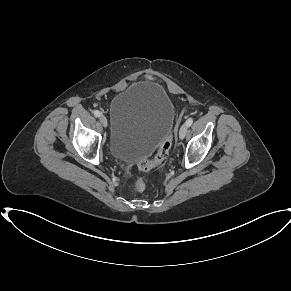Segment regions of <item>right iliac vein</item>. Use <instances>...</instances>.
<instances>
[{
  "instance_id": "1",
  "label": "right iliac vein",
  "mask_w": 291,
  "mask_h": 291,
  "mask_svg": "<svg viewBox=\"0 0 291 291\" xmlns=\"http://www.w3.org/2000/svg\"><path fill=\"white\" fill-rule=\"evenodd\" d=\"M99 119H100V122L102 123V125L106 128L108 125L106 117L104 115H101Z\"/></svg>"
}]
</instances>
